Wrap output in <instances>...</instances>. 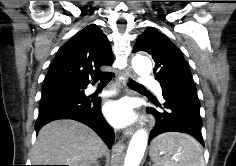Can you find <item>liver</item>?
I'll list each match as a JSON object with an SVG mask.
<instances>
[{
  "label": "liver",
  "mask_w": 236,
  "mask_h": 166,
  "mask_svg": "<svg viewBox=\"0 0 236 166\" xmlns=\"http://www.w3.org/2000/svg\"><path fill=\"white\" fill-rule=\"evenodd\" d=\"M107 147L89 127L74 120H56L38 133L33 165L93 166Z\"/></svg>",
  "instance_id": "obj_1"
}]
</instances>
